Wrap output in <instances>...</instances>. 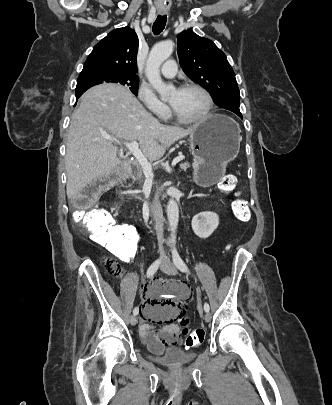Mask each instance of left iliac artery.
<instances>
[{
	"label": "left iliac artery",
	"mask_w": 332,
	"mask_h": 405,
	"mask_svg": "<svg viewBox=\"0 0 332 405\" xmlns=\"http://www.w3.org/2000/svg\"><path fill=\"white\" fill-rule=\"evenodd\" d=\"M172 257H173V262L175 266L182 272H189L187 265L185 262L182 260L180 257L178 251L176 248H173L172 250ZM204 310L205 312H209L210 306L207 302L204 303Z\"/></svg>",
	"instance_id": "obj_1"
}]
</instances>
